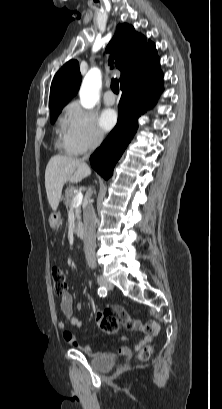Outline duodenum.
<instances>
[{
  "mask_svg": "<svg viewBox=\"0 0 222 409\" xmlns=\"http://www.w3.org/2000/svg\"><path fill=\"white\" fill-rule=\"evenodd\" d=\"M75 233L79 238H81V239L85 238V230H84V227H83V225L81 223H76L75 224Z\"/></svg>",
  "mask_w": 222,
  "mask_h": 409,
  "instance_id": "duodenum-1",
  "label": "duodenum"
}]
</instances>
